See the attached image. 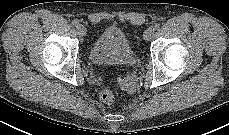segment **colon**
Here are the masks:
<instances>
[{"instance_id": "obj_1", "label": "colon", "mask_w": 229, "mask_h": 135, "mask_svg": "<svg viewBox=\"0 0 229 135\" xmlns=\"http://www.w3.org/2000/svg\"><path fill=\"white\" fill-rule=\"evenodd\" d=\"M115 90L112 88H105L100 92L99 98L105 104H112L115 100Z\"/></svg>"}]
</instances>
